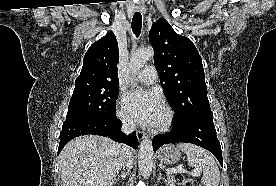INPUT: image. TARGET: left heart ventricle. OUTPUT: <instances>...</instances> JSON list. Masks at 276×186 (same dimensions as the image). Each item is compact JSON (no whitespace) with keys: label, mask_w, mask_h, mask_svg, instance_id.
<instances>
[{"label":"left heart ventricle","mask_w":276,"mask_h":186,"mask_svg":"<svg viewBox=\"0 0 276 186\" xmlns=\"http://www.w3.org/2000/svg\"><path fill=\"white\" fill-rule=\"evenodd\" d=\"M163 118H164V112H163V110H161V112L159 113L154 125L161 123Z\"/></svg>","instance_id":"obj_1"}]
</instances>
